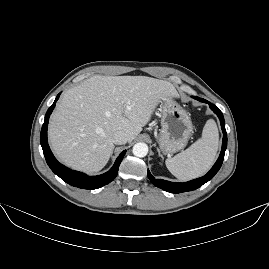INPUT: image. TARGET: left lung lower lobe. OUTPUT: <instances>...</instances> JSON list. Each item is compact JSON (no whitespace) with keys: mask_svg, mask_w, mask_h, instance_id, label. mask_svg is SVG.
<instances>
[{"mask_svg":"<svg viewBox=\"0 0 269 269\" xmlns=\"http://www.w3.org/2000/svg\"><path fill=\"white\" fill-rule=\"evenodd\" d=\"M201 102H205L208 103L211 110L214 111V113L217 114V116L219 117L220 123H221V128L223 131V142H222V149H221V153L219 155L218 160L216 161V163L214 164V166L211 168V170L203 177L198 178V179H194L185 183H176V182H169L163 179H155L150 171L148 170V178L150 179L151 183L153 185H155L158 188H161L167 192L170 193H182V192H187V191H192L195 190L199 187H201L203 184H205L206 182H208L210 179H212L215 174L218 172V170L220 169L223 160H224V154H225V150L227 147V133L225 130V121H224V117L222 112L213 104H211L209 101L205 100V99H201L198 97H193Z\"/></svg>","mask_w":269,"mask_h":269,"instance_id":"1","label":"left lung lower lobe"}]
</instances>
